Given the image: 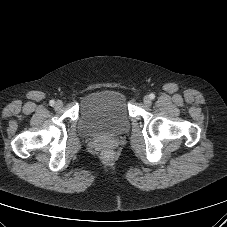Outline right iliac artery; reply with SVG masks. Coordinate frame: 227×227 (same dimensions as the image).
Returning a JSON list of instances; mask_svg holds the SVG:
<instances>
[{"label":"right iliac artery","mask_w":227,"mask_h":227,"mask_svg":"<svg viewBox=\"0 0 227 227\" xmlns=\"http://www.w3.org/2000/svg\"><path fill=\"white\" fill-rule=\"evenodd\" d=\"M49 104H50L51 106H54V105H55V101H54V100H50Z\"/></svg>","instance_id":"obj_1"}]
</instances>
